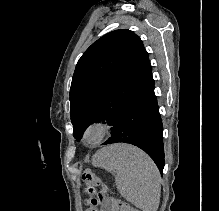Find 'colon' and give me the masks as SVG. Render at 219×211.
<instances>
[{
  "label": "colon",
  "instance_id": "obj_1",
  "mask_svg": "<svg viewBox=\"0 0 219 211\" xmlns=\"http://www.w3.org/2000/svg\"><path fill=\"white\" fill-rule=\"evenodd\" d=\"M83 181L85 183L84 192L87 196L86 205L88 206V209L86 211H98V205L101 199V196H99V198L97 196V189L99 187H102L103 195L107 197L116 211H139L125 202L107 196L106 187L103 185L100 176L95 171L91 169L85 170L83 173Z\"/></svg>",
  "mask_w": 219,
  "mask_h": 211
}]
</instances>
